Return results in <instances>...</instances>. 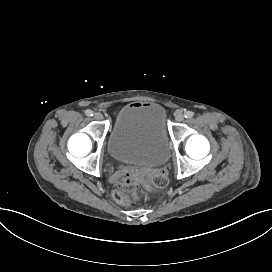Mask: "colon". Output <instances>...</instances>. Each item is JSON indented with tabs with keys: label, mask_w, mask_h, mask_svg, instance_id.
<instances>
[{
	"label": "colon",
	"mask_w": 272,
	"mask_h": 272,
	"mask_svg": "<svg viewBox=\"0 0 272 272\" xmlns=\"http://www.w3.org/2000/svg\"><path fill=\"white\" fill-rule=\"evenodd\" d=\"M111 173L116 184L115 198L119 204L125 205L130 203L133 197L139 202L148 200L150 196L148 187L138 184L135 173L128 171L124 164H115ZM151 179L153 185L157 187L165 186L168 181V173L161 169L155 170Z\"/></svg>",
	"instance_id": "colon-1"
}]
</instances>
